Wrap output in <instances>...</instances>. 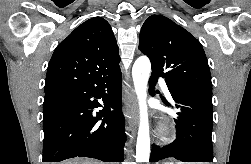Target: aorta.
Returning a JSON list of instances; mask_svg holds the SVG:
<instances>
[{
	"mask_svg": "<svg viewBox=\"0 0 251 164\" xmlns=\"http://www.w3.org/2000/svg\"><path fill=\"white\" fill-rule=\"evenodd\" d=\"M151 72V63L147 56L139 57L132 68V77L137 94L140 122L136 145V162H148L150 155V135L147 112V83Z\"/></svg>",
	"mask_w": 251,
	"mask_h": 164,
	"instance_id": "aorta-1",
	"label": "aorta"
}]
</instances>
